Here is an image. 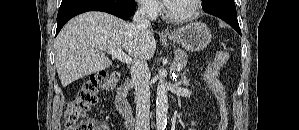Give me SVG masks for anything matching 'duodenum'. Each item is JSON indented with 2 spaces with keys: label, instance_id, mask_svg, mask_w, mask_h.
I'll list each match as a JSON object with an SVG mask.
<instances>
[{
  "label": "duodenum",
  "instance_id": "1",
  "mask_svg": "<svg viewBox=\"0 0 299 130\" xmlns=\"http://www.w3.org/2000/svg\"><path fill=\"white\" fill-rule=\"evenodd\" d=\"M129 90L130 84L127 80L115 97V105L117 110L124 116L127 128L132 130L134 127V118L131 105L127 99Z\"/></svg>",
  "mask_w": 299,
  "mask_h": 130
}]
</instances>
